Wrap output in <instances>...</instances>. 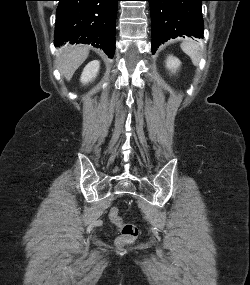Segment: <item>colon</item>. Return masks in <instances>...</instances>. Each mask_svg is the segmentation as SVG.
Returning a JSON list of instances; mask_svg holds the SVG:
<instances>
[{"mask_svg":"<svg viewBox=\"0 0 250 285\" xmlns=\"http://www.w3.org/2000/svg\"><path fill=\"white\" fill-rule=\"evenodd\" d=\"M111 222L116 225L120 235L116 242L118 246H126L132 243L139 235L138 227L133 223H124L119 215L117 207H112L109 212Z\"/></svg>","mask_w":250,"mask_h":285,"instance_id":"colon-1","label":"colon"}]
</instances>
